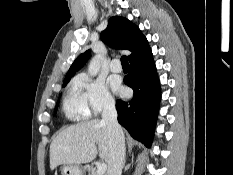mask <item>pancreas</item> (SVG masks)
Returning a JSON list of instances; mask_svg holds the SVG:
<instances>
[{
	"mask_svg": "<svg viewBox=\"0 0 233 175\" xmlns=\"http://www.w3.org/2000/svg\"><path fill=\"white\" fill-rule=\"evenodd\" d=\"M89 175H98V173H97V171L92 170L91 174H89Z\"/></svg>",
	"mask_w": 233,
	"mask_h": 175,
	"instance_id": "pancreas-1",
	"label": "pancreas"
}]
</instances>
